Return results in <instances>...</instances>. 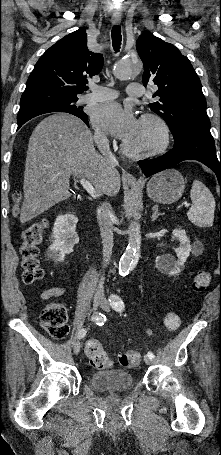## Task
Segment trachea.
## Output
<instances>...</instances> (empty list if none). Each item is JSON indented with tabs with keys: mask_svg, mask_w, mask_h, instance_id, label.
<instances>
[{
	"mask_svg": "<svg viewBox=\"0 0 221 455\" xmlns=\"http://www.w3.org/2000/svg\"><path fill=\"white\" fill-rule=\"evenodd\" d=\"M112 44L116 52L119 51L122 41L121 28L120 26H114L111 31ZM88 89V87H86Z\"/></svg>",
	"mask_w": 221,
	"mask_h": 455,
	"instance_id": "trachea-1",
	"label": "trachea"
}]
</instances>
